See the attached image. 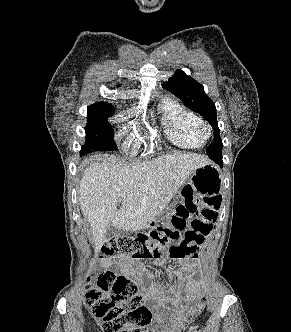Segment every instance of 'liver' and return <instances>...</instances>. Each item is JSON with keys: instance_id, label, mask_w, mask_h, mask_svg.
<instances>
[{"instance_id": "1", "label": "liver", "mask_w": 291, "mask_h": 332, "mask_svg": "<svg viewBox=\"0 0 291 332\" xmlns=\"http://www.w3.org/2000/svg\"><path fill=\"white\" fill-rule=\"evenodd\" d=\"M90 161L80 182L79 204L91 226L96 253L107 241L105 232L110 224L126 232L145 228L163 212L191 174L211 162L206 156L188 152L132 166L108 158Z\"/></svg>"}]
</instances>
